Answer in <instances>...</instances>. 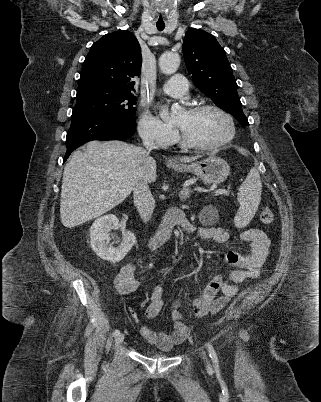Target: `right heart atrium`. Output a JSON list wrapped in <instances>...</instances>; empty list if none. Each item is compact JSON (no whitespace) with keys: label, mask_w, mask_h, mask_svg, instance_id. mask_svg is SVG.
<instances>
[{"label":"right heart atrium","mask_w":321,"mask_h":402,"mask_svg":"<svg viewBox=\"0 0 321 402\" xmlns=\"http://www.w3.org/2000/svg\"><path fill=\"white\" fill-rule=\"evenodd\" d=\"M138 131L145 142L162 148L172 145L177 137L171 126L160 122L148 112L140 117Z\"/></svg>","instance_id":"right-heart-atrium-1"}]
</instances>
